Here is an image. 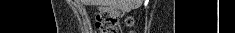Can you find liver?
Listing matches in <instances>:
<instances>
[{
  "label": "liver",
  "mask_w": 235,
  "mask_h": 33,
  "mask_svg": "<svg viewBox=\"0 0 235 33\" xmlns=\"http://www.w3.org/2000/svg\"><path fill=\"white\" fill-rule=\"evenodd\" d=\"M124 5L120 4L118 0H85L87 5H101V6H114L117 8H124L126 11H130L139 6L138 0H125Z\"/></svg>",
  "instance_id": "6515ba94"
}]
</instances>
